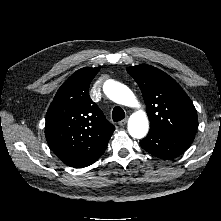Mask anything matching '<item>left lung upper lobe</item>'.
<instances>
[{
    "label": "left lung upper lobe",
    "instance_id": "obj_1",
    "mask_svg": "<svg viewBox=\"0 0 221 221\" xmlns=\"http://www.w3.org/2000/svg\"><path fill=\"white\" fill-rule=\"evenodd\" d=\"M127 72L142 91L150 120V131L195 136L198 126L196 109L173 78L147 64L129 67Z\"/></svg>",
    "mask_w": 221,
    "mask_h": 221
}]
</instances>
